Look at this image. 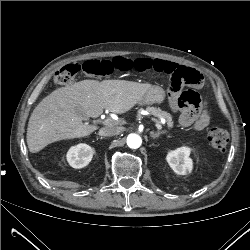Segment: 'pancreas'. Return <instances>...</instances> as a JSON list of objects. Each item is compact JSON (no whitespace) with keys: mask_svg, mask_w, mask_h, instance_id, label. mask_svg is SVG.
<instances>
[{"mask_svg":"<svg viewBox=\"0 0 250 250\" xmlns=\"http://www.w3.org/2000/svg\"><path fill=\"white\" fill-rule=\"evenodd\" d=\"M146 110L152 113L154 116L161 117L166 120L167 126L169 129L173 128L174 123L172 121V116L170 113L162 111L160 108L156 107H147Z\"/></svg>","mask_w":250,"mask_h":250,"instance_id":"obj_1","label":"pancreas"}]
</instances>
